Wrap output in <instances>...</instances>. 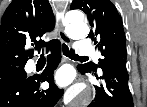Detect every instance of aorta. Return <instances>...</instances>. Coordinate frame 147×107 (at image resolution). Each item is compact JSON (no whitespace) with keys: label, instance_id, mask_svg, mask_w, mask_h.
<instances>
[{"label":"aorta","instance_id":"762f6f07","mask_svg":"<svg viewBox=\"0 0 147 107\" xmlns=\"http://www.w3.org/2000/svg\"><path fill=\"white\" fill-rule=\"evenodd\" d=\"M65 31L72 39H84L89 34V28L83 19L76 17L68 20ZM71 93L74 95L72 103L75 107H85L92 99L91 90L84 84H78L73 87Z\"/></svg>","mask_w":147,"mask_h":107}]
</instances>
